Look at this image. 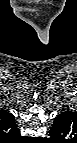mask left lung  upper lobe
Returning <instances> with one entry per match:
<instances>
[{"instance_id":"1","label":"left lung upper lobe","mask_w":77,"mask_h":143,"mask_svg":"<svg viewBox=\"0 0 77 143\" xmlns=\"http://www.w3.org/2000/svg\"><path fill=\"white\" fill-rule=\"evenodd\" d=\"M72 117H73V115H72ZM72 117H70V119H67L64 121H58V122L54 121V124H53L52 128L50 129V133L52 135H57V136L63 135L64 130L68 129V127L71 123Z\"/></svg>"}]
</instances>
